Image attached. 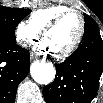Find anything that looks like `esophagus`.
Masks as SVG:
<instances>
[{
    "instance_id": "esophagus-1",
    "label": "esophagus",
    "mask_w": 103,
    "mask_h": 103,
    "mask_svg": "<svg viewBox=\"0 0 103 103\" xmlns=\"http://www.w3.org/2000/svg\"><path fill=\"white\" fill-rule=\"evenodd\" d=\"M30 59H31V61H35V60H38V57L32 53L30 55Z\"/></svg>"
}]
</instances>
